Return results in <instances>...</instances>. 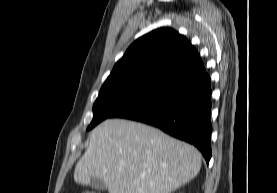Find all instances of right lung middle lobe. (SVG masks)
Returning a JSON list of instances; mask_svg holds the SVG:
<instances>
[{"label":"right lung middle lobe","mask_w":277,"mask_h":193,"mask_svg":"<svg viewBox=\"0 0 277 193\" xmlns=\"http://www.w3.org/2000/svg\"><path fill=\"white\" fill-rule=\"evenodd\" d=\"M152 91L134 88L101 89L93 105V119L87 130L92 129L101 121L114 117L119 112L134 105Z\"/></svg>","instance_id":"1"}]
</instances>
